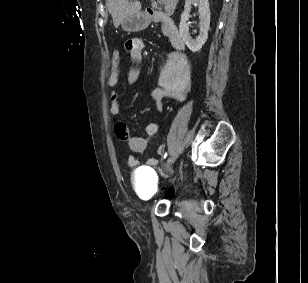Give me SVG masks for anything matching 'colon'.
Segmentation results:
<instances>
[{
    "label": "colon",
    "mask_w": 308,
    "mask_h": 283,
    "mask_svg": "<svg viewBox=\"0 0 308 283\" xmlns=\"http://www.w3.org/2000/svg\"><path fill=\"white\" fill-rule=\"evenodd\" d=\"M121 63V54L119 51H114L112 55V66L113 68H118Z\"/></svg>",
    "instance_id": "colon-1"
}]
</instances>
